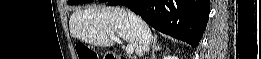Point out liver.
I'll list each match as a JSON object with an SVG mask.
<instances>
[{"instance_id": "6515ba94", "label": "liver", "mask_w": 261, "mask_h": 59, "mask_svg": "<svg viewBox=\"0 0 261 59\" xmlns=\"http://www.w3.org/2000/svg\"><path fill=\"white\" fill-rule=\"evenodd\" d=\"M70 34L96 46L110 47L114 44L111 36L126 40L135 53L142 56L143 44L136 30L131 27L129 16L124 8L89 6L76 10L69 20ZM157 37H153L151 41Z\"/></svg>"}]
</instances>
